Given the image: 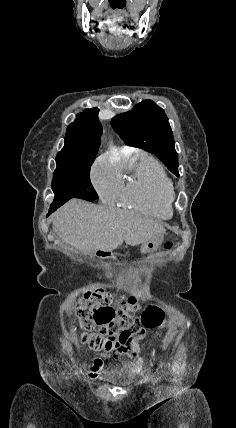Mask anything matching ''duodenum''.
<instances>
[{
	"mask_svg": "<svg viewBox=\"0 0 236 428\" xmlns=\"http://www.w3.org/2000/svg\"><path fill=\"white\" fill-rule=\"evenodd\" d=\"M97 255H98L99 258L105 259V260H114L115 259V256H114L113 252L110 251V250H105V249L104 250H99L97 252Z\"/></svg>",
	"mask_w": 236,
	"mask_h": 428,
	"instance_id": "obj_1",
	"label": "duodenum"
}]
</instances>
